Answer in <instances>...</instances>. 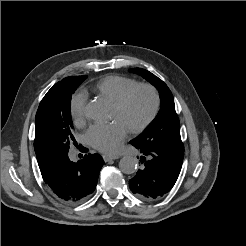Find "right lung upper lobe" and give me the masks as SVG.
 I'll return each instance as SVG.
<instances>
[{"mask_svg": "<svg viewBox=\"0 0 246 246\" xmlns=\"http://www.w3.org/2000/svg\"><path fill=\"white\" fill-rule=\"evenodd\" d=\"M35 121H36V131H35L34 149H35L38 165L40 166L48 158H47V156H46V154L44 152V149H43V146H42V143H41V138H40V112H39V110L37 111L36 120Z\"/></svg>", "mask_w": 246, "mask_h": 246, "instance_id": "right-lung-upper-lobe-1", "label": "right lung upper lobe"}]
</instances>
